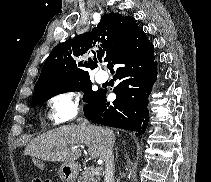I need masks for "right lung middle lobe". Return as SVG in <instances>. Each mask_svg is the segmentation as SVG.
<instances>
[{
    "instance_id": "dd1d6c3e",
    "label": "right lung middle lobe",
    "mask_w": 211,
    "mask_h": 182,
    "mask_svg": "<svg viewBox=\"0 0 211 182\" xmlns=\"http://www.w3.org/2000/svg\"><path fill=\"white\" fill-rule=\"evenodd\" d=\"M73 91H82L84 93L83 100L86 102H88L96 93L92 91V82L90 81V77L87 76L71 82L54 84L40 89L34 93L32 97V107L46 102L48 99L58 94Z\"/></svg>"
}]
</instances>
